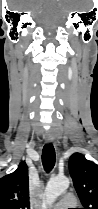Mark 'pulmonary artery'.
Returning a JSON list of instances; mask_svg holds the SVG:
<instances>
[{
  "mask_svg": "<svg viewBox=\"0 0 98 209\" xmlns=\"http://www.w3.org/2000/svg\"><path fill=\"white\" fill-rule=\"evenodd\" d=\"M77 199L72 193L65 194L62 199L54 205V209H69L75 207Z\"/></svg>",
  "mask_w": 98,
  "mask_h": 209,
  "instance_id": "e3ab8cb5",
  "label": "pulmonary artery"
}]
</instances>
